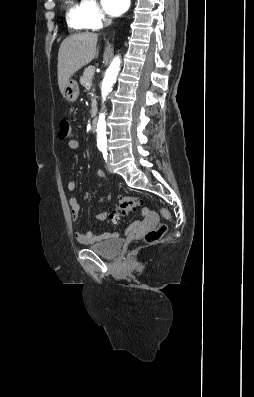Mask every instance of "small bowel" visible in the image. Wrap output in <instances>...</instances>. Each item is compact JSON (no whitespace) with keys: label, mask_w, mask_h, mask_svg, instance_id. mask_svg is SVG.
I'll use <instances>...</instances> for the list:
<instances>
[{"label":"small bowel","mask_w":254,"mask_h":397,"mask_svg":"<svg viewBox=\"0 0 254 397\" xmlns=\"http://www.w3.org/2000/svg\"><path fill=\"white\" fill-rule=\"evenodd\" d=\"M68 147L70 150L76 151L79 148V142L77 140H70L68 143ZM96 175L100 178L107 179L105 173L101 170H98L96 172ZM76 188H77V185L74 181H70L67 185V189L70 193L69 209H70V213H71V218L74 222L78 219L79 212L81 209V205H80L79 201L77 200L76 197H74L72 195L74 193V191L76 190ZM110 198H111L110 193L108 195H103L98 199L96 205L101 204L105 200L109 201ZM107 216H108L107 211L96 213V218L99 220H104L107 218ZM144 216L147 219H150L152 217V213H150L149 211L146 210V211H144ZM117 237H118V233H115V232H105L103 234H94L91 231H88L86 233H80V232L75 233V239L77 240V242H79L81 244H94V243L101 242L103 240L115 239Z\"/></svg>","instance_id":"1"}]
</instances>
